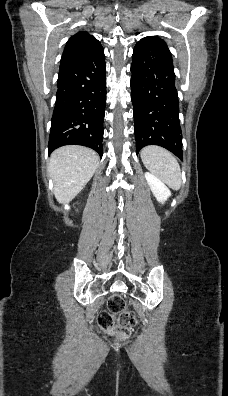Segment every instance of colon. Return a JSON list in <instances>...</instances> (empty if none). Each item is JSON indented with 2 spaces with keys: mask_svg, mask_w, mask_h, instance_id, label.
Wrapping results in <instances>:
<instances>
[{
  "mask_svg": "<svg viewBox=\"0 0 228 396\" xmlns=\"http://www.w3.org/2000/svg\"><path fill=\"white\" fill-rule=\"evenodd\" d=\"M125 307L124 298L115 293L108 300V309L102 311L98 316L99 326L118 339L129 338L137 324L135 314L131 311H125ZM115 314H119V316L115 317Z\"/></svg>",
  "mask_w": 228,
  "mask_h": 396,
  "instance_id": "colon-1",
  "label": "colon"
}]
</instances>
